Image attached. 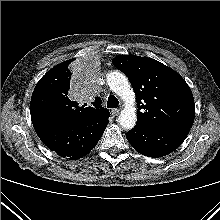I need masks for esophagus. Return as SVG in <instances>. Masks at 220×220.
<instances>
[{"label": "esophagus", "instance_id": "obj_1", "mask_svg": "<svg viewBox=\"0 0 220 220\" xmlns=\"http://www.w3.org/2000/svg\"><path fill=\"white\" fill-rule=\"evenodd\" d=\"M120 110L119 109H112L111 113L113 116H117L119 114Z\"/></svg>", "mask_w": 220, "mask_h": 220}]
</instances>
